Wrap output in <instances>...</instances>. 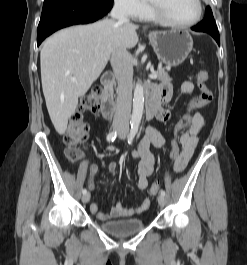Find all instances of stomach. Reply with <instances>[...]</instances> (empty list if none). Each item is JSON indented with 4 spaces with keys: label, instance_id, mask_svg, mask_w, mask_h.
I'll return each mask as SVG.
<instances>
[{
    "label": "stomach",
    "instance_id": "0dacf381",
    "mask_svg": "<svg viewBox=\"0 0 247 265\" xmlns=\"http://www.w3.org/2000/svg\"><path fill=\"white\" fill-rule=\"evenodd\" d=\"M149 40L157 58L169 67L183 63L193 49L191 35L181 29L151 32Z\"/></svg>",
    "mask_w": 247,
    "mask_h": 265
}]
</instances>
